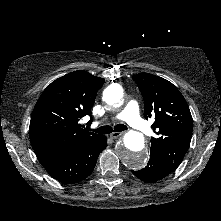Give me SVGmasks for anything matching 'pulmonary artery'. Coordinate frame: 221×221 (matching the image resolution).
I'll return each instance as SVG.
<instances>
[{
  "label": "pulmonary artery",
  "instance_id": "1",
  "mask_svg": "<svg viewBox=\"0 0 221 221\" xmlns=\"http://www.w3.org/2000/svg\"><path fill=\"white\" fill-rule=\"evenodd\" d=\"M115 118L126 121L133 128L145 134L151 133L150 126L141 118L139 114V105L135 100L129 101L125 108L118 113Z\"/></svg>",
  "mask_w": 221,
  "mask_h": 221
}]
</instances>
